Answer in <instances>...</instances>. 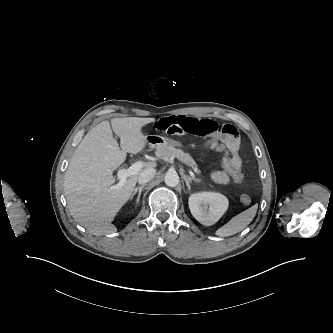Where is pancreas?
Returning a JSON list of instances; mask_svg holds the SVG:
<instances>
[{"label": "pancreas", "mask_w": 333, "mask_h": 333, "mask_svg": "<svg viewBox=\"0 0 333 333\" xmlns=\"http://www.w3.org/2000/svg\"><path fill=\"white\" fill-rule=\"evenodd\" d=\"M156 156L158 158H166L170 156L177 157L182 163L192 167L193 169H197V164L194 159L188 154L183 152L180 149H176L174 145H166L157 148Z\"/></svg>", "instance_id": "pancreas-1"}]
</instances>
